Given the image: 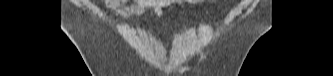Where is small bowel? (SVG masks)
I'll list each match as a JSON object with an SVG mask.
<instances>
[{"instance_id":"obj_1","label":"small bowel","mask_w":333,"mask_h":76,"mask_svg":"<svg viewBox=\"0 0 333 76\" xmlns=\"http://www.w3.org/2000/svg\"><path fill=\"white\" fill-rule=\"evenodd\" d=\"M195 2L193 0H138L134 4H127L126 0H106L104 1L108 10L116 17L125 18L138 16L145 11H153L160 14L164 5H178L185 7Z\"/></svg>"}]
</instances>
